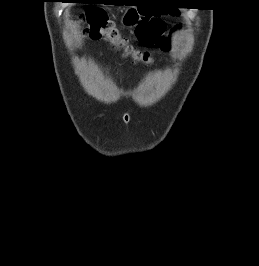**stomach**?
<instances>
[{"instance_id": "stomach-1", "label": "stomach", "mask_w": 259, "mask_h": 266, "mask_svg": "<svg viewBox=\"0 0 259 266\" xmlns=\"http://www.w3.org/2000/svg\"><path fill=\"white\" fill-rule=\"evenodd\" d=\"M135 16L134 14L130 13V11H127L124 15L123 22L127 26H132L134 23Z\"/></svg>"}]
</instances>
